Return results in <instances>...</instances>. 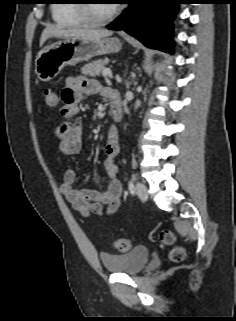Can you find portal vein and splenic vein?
<instances>
[{
  "label": "portal vein and splenic vein",
  "mask_w": 236,
  "mask_h": 321,
  "mask_svg": "<svg viewBox=\"0 0 236 321\" xmlns=\"http://www.w3.org/2000/svg\"><path fill=\"white\" fill-rule=\"evenodd\" d=\"M102 75H103V77H105V78H107V77L112 78V77H113L111 70L108 69V68H107V69H104V70L102 71Z\"/></svg>",
  "instance_id": "portal-vein-and-splenic-vein-1"
}]
</instances>
